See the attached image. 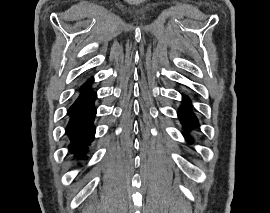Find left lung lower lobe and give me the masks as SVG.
Returning <instances> with one entry per match:
<instances>
[{
  "instance_id": "1",
  "label": "left lung lower lobe",
  "mask_w": 270,
  "mask_h": 213,
  "mask_svg": "<svg viewBox=\"0 0 270 213\" xmlns=\"http://www.w3.org/2000/svg\"><path fill=\"white\" fill-rule=\"evenodd\" d=\"M178 117L181 123L186 128L184 135L189 141H191V138L186 133L190 129H193L197 126V118L192 112L191 107H190V101L186 96L183 97V103H182V107L178 111Z\"/></svg>"
}]
</instances>
